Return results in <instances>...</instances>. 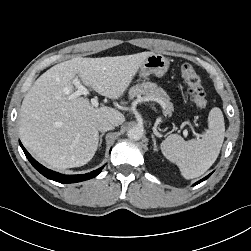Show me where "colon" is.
Here are the masks:
<instances>
[{
  "label": "colon",
  "mask_w": 251,
  "mask_h": 251,
  "mask_svg": "<svg viewBox=\"0 0 251 251\" xmlns=\"http://www.w3.org/2000/svg\"><path fill=\"white\" fill-rule=\"evenodd\" d=\"M181 76L185 81L191 100L196 106L205 108L208 104L207 95L201 84V80L196 70L190 64H183Z\"/></svg>",
  "instance_id": "1"
}]
</instances>
